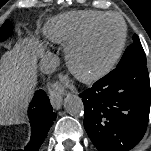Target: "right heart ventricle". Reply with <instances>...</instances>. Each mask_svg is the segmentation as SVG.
Returning <instances> with one entry per match:
<instances>
[{"mask_svg":"<svg viewBox=\"0 0 151 151\" xmlns=\"http://www.w3.org/2000/svg\"><path fill=\"white\" fill-rule=\"evenodd\" d=\"M106 12L81 10L67 12L50 19L45 27L46 38L55 43L70 44L77 40L86 29Z\"/></svg>","mask_w":151,"mask_h":151,"instance_id":"e07e8e85","label":"right heart ventricle"}]
</instances>
